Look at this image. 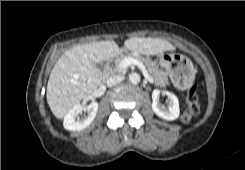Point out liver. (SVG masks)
<instances>
[{
  "instance_id": "1",
  "label": "liver",
  "mask_w": 245,
  "mask_h": 170,
  "mask_svg": "<svg viewBox=\"0 0 245 170\" xmlns=\"http://www.w3.org/2000/svg\"><path fill=\"white\" fill-rule=\"evenodd\" d=\"M124 49L133 53L156 55L174 46L160 38H131ZM115 41L78 44L66 50L55 63L48 80L46 98L53 115L62 119L82 99L92 94L103 81L95 65L119 55Z\"/></svg>"
}]
</instances>
